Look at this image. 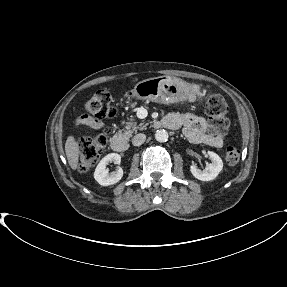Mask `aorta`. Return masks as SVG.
Here are the masks:
<instances>
[{"instance_id": "1", "label": "aorta", "mask_w": 287, "mask_h": 287, "mask_svg": "<svg viewBox=\"0 0 287 287\" xmlns=\"http://www.w3.org/2000/svg\"><path fill=\"white\" fill-rule=\"evenodd\" d=\"M168 132L164 129L157 130L155 133V139L158 142H166L168 140Z\"/></svg>"}]
</instances>
